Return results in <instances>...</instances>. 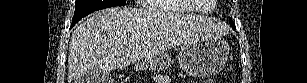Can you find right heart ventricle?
I'll return each mask as SVG.
<instances>
[{
    "label": "right heart ventricle",
    "mask_w": 307,
    "mask_h": 83,
    "mask_svg": "<svg viewBox=\"0 0 307 83\" xmlns=\"http://www.w3.org/2000/svg\"><path fill=\"white\" fill-rule=\"evenodd\" d=\"M149 8L166 15L175 13H192L195 11L193 6L185 0H151Z\"/></svg>",
    "instance_id": "1"
}]
</instances>
